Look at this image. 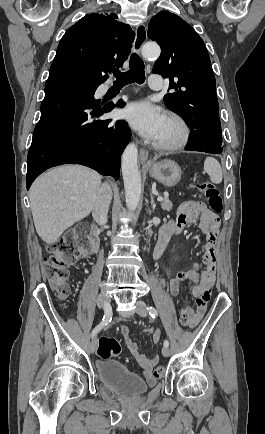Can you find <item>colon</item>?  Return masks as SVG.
<instances>
[{
	"instance_id": "colon-1",
	"label": "colon",
	"mask_w": 265,
	"mask_h": 434,
	"mask_svg": "<svg viewBox=\"0 0 265 434\" xmlns=\"http://www.w3.org/2000/svg\"><path fill=\"white\" fill-rule=\"evenodd\" d=\"M195 187L206 198L212 211L216 213L223 211V201L220 191L213 183L196 181ZM78 256L76 240L72 235V231H69L65 238L55 241L50 247L48 256L42 267V273L51 282L52 288L60 298H67L69 295V266L77 261ZM186 308H183L180 313V324L184 328H189L193 326L196 319H190ZM120 353L121 345L115 337H100L97 345V354L102 361H107L112 356L120 355ZM163 370V366L160 364L154 373L157 377H160Z\"/></svg>"
}]
</instances>
